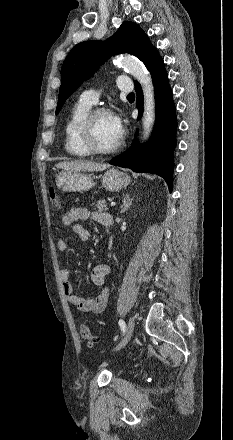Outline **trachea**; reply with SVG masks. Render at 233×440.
Segmentation results:
<instances>
[{"label":"trachea","instance_id":"1","mask_svg":"<svg viewBox=\"0 0 233 440\" xmlns=\"http://www.w3.org/2000/svg\"><path fill=\"white\" fill-rule=\"evenodd\" d=\"M134 93H129L127 97H134Z\"/></svg>","mask_w":233,"mask_h":440}]
</instances>
